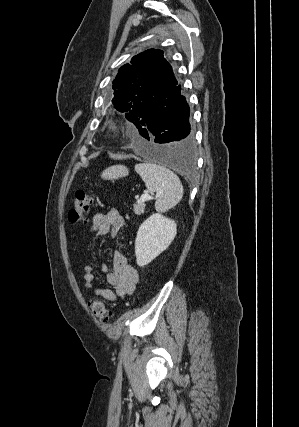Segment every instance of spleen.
Masks as SVG:
<instances>
[{
    "instance_id": "3e777b00",
    "label": "spleen",
    "mask_w": 299,
    "mask_h": 427,
    "mask_svg": "<svg viewBox=\"0 0 299 427\" xmlns=\"http://www.w3.org/2000/svg\"><path fill=\"white\" fill-rule=\"evenodd\" d=\"M135 171L144 181L146 188L159 196L155 203L156 211L166 212L182 199V183L168 168L154 163H141L135 166Z\"/></svg>"
}]
</instances>
